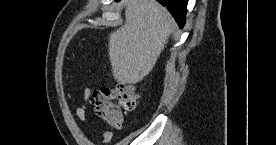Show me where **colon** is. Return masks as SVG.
Returning a JSON list of instances; mask_svg holds the SVG:
<instances>
[{
	"label": "colon",
	"mask_w": 276,
	"mask_h": 145,
	"mask_svg": "<svg viewBox=\"0 0 276 145\" xmlns=\"http://www.w3.org/2000/svg\"><path fill=\"white\" fill-rule=\"evenodd\" d=\"M91 102L99 119L110 127L120 128L125 113L136 109L139 95L131 85L118 84L92 91Z\"/></svg>",
	"instance_id": "1"
}]
</instances>
